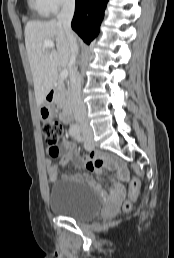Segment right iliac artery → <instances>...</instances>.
<instances>
[{
  "mask_svg": "<svg viewBox=\"0 0 174 258\" xmlns=\"http://www.w3.org/2000/svg\"><path fill=\"white\" fill-rule=\"evenodd\" d=\"M77 133H78V130H77V129H71V130H70V135H71V136H75Z\"/></svg>",
  "mask_w": 174,
  "mask_h": 258,
  "instance_id": "right-iliac-artery-1",
  "label": "right iliac artery"
}]
</instances>
